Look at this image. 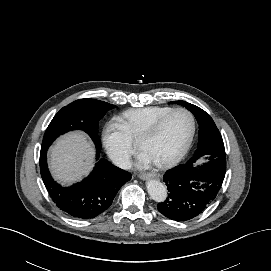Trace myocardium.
I'll use <instances>...</instances> for the list:
<instances>
[{
    "instance_id": "1",
    "label": "myocardium",
    "mask_w": 271,
    "mask_h": 271,
    "mask_svg": "<svg viewBox=\"0 0 271 271\" xmlns=\"http://www.w3.org/2000/svg\"><path fill=\"white\" fill-rule=\"evenodd\" d=\"M177 112H185L190 116L191 122H192L191 133H190V136H189L186 144L177 154H175L174 156H172L168 159H165L163 161L156 162V164L160 167H169V166H173V165L177 164L186 156V154L190 150V148L193 144L195 135H196V130H197V122H196V118H195L194 114L189 109H187L185 107L173 108L172 110H170L169 112L164 114L162 117H160L157 121H155L151 126H149L141 134V136L139 138V146L141 149H143V144L146 142V140H148L149 138H151L155 134H157V132L160 130L162 125L165 123V121L171 115H173L174 113H177Z\"/></svg>"
}]
</instances>
